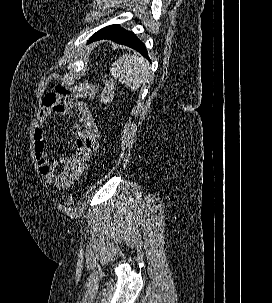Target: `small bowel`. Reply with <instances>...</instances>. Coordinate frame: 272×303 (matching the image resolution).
Listing matches in <instances>:
<instances>
[{
    "label": "small bowel",
    "mask_w": 272,
    "mask_h": 303,
    "mask_svg": "<svg viewBox=\"0 0 272 303\" xmlns=\"http://www.w3.org/2000/svg\"><path fill=\"white\" fill-rule=\"evenodd\" d=\"M96 89L85 83L72 87L59 85L44 97L34 130V155L43 181L59 191L67 190L89 168L91 154L98 148V126L89 106L81 100H93ZM56 115L73 116V152L51 160L46 144V121Z\"/></svg>",
    "instance_id": "1"
}]
</instances>
